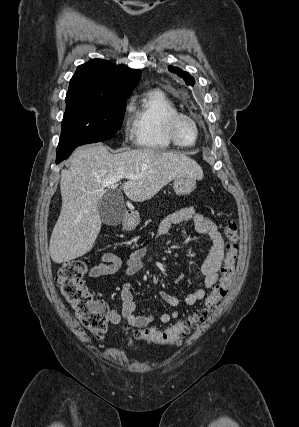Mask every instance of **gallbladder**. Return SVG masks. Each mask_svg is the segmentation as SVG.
Returning a JSON list of instances; mask_svg holds the SVG:
<instances>
[{"label":"gallbladder","mask_w":299,"mask_h":427,"mask_svg":"<svg viewBox=\"0 0 299 427\" xmlns=\"http://www.w3.org/2000/svg\"><path fill=\"white\" fill-rule=\"evenodd\" d=\"M101 220L106 225H119L126 215V207L121 191L114 189L107 191L98 205Z\"/></svg>","instance_id":"gallbladder-1"}]
</instances>
